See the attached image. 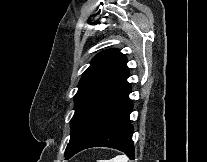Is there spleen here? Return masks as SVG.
Returning <instances> with one entry per match:
<instances>
[{
    "label": "spleen",
    "mask_w": 207,
    "mask_h": 162,
    "mask_svg": "<svg viewBox=\"0 0 207 162\" xmlns=\"http://www.w3.org/2000/svg\"><path fill=\"white\" fill-rule=\"evenodd\" d=\"M129 158L126 155H117L110 160H98L97 162H128Z\"/></svg>",
    "instance_id": "1"
}]
</instances>
